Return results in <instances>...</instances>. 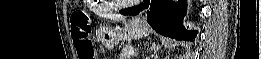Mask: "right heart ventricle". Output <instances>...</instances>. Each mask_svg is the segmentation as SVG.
Wrapping results in <instances>:
<instances>
[{
    "instance_id": "obj_1",
    "label": "right heart ventricle",
    "mask_w": 261,
    "mask_h": 59,
    "mask_svg": "<svg viewBox=\"0 0 261 59\" xmlns=\"http://www.w3.org/2000/svg\"><path fill=\"white\" fill-rule=\"evenodd\" d=\"M103 10H105V11H108V10H109V8H104Z\"/></svg>"
}]
</instances>
